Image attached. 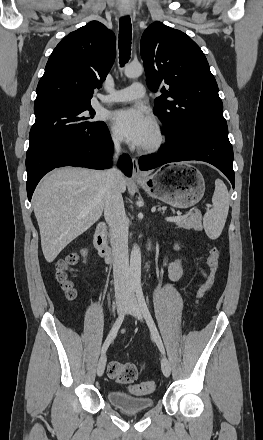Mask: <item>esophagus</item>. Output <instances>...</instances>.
<instances>
[{
  "label": "esophagus",
  "instance_id": "1",
  "mask_svg": "<svg viewBox=\"0 0 263 440\" xmlns=\"http://www.w3.org/2000/svg\"><path fill=\"white\" fill-rule=\"evenodd\" d=\"M129 14H130V11L121 10L122 16H127ZM132 166H133V170H132V178L133 179H142L145 177V175L143 174V172L139 168L138 159L135 157L132 158Z\"/></svg>",
  "mask_w": 263,
  "mask_h": 440
}]
</instances>
